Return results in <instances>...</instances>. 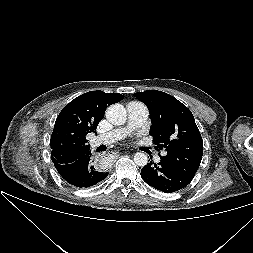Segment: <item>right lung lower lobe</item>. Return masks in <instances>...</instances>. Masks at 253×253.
I'll use <instances>...</instances> for the list:
<instances>
[{"label": "right lung lower lobe", "mask_w": 253, "mask_h": 253, "mask_svg": "<svg viewBox=\"0 0 253 253\" xmlns=\"http://www.w3.org/2000/svg\"><path fill=\"white\" fill-rule=\"evenodd\" d=\"M54 166L67 183L78 188L93 186L108 175V172H101L94 166L91 151L73 162Z\"/></svg>", "instance_id": "obj_1"}]
</instances>
